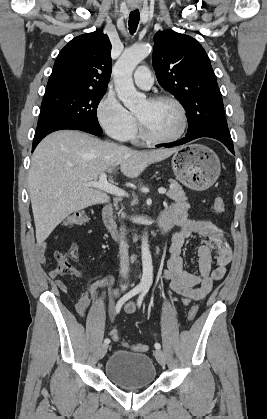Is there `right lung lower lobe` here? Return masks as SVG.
I'll return each instance as SVG.
<instances>
[{"label":"right lung lower lobe","mask_w":267,"mask_h":419,"mask_svg":"<svg viewBox=\"0 0 267 419\" xmlns=\"http://www.w3.org/2000/svg\"><path fill=\"white\" fill-rule=\"evenodd\" d=\"M63 129L81 130L93 135H100L102 133L101 127L96 128L90 125H85L55 112L41 110L33 140L32 152L46 135Z\"/></svg>","instance_id":"obj_1"}]
</instances>
